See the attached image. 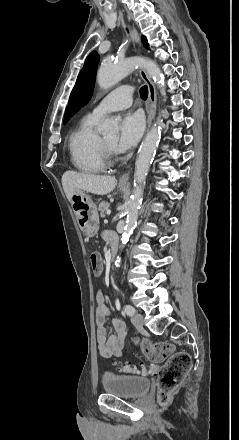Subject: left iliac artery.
<instances>
[{"label": "left iliac artery", "mask_w": 239, "mask_h": 440, "mask_svg": "<svg viewBox=\"0 0 239 440\" xmlns=\"http://www.w3.org/2000/svg\"><path fill=\"white\" fill-rule=\"evenodd\" d=\"M124 311H125V313H126L127 315H129V316H132V315H134V313H135V309H134V307L131 306V305H125V307H124Z\"/></svg>", "instance_id": "44dca946"}]
</instances>
